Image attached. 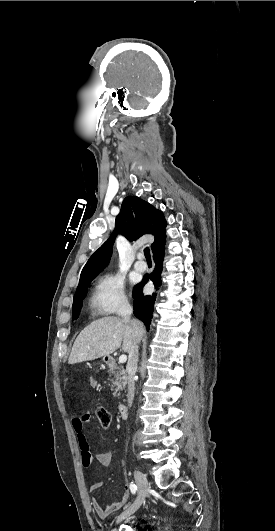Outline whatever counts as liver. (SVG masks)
<instances>
[{
    "label": "liver",
    "instance_id": "1",
    "mask_svg": "<svg viewBox=\"0 0 275 531\" xmlns=\"http://www.w3.org/2000/svg\"><path fill=\"white\" fill-rule=\"evenodd\" d=\"M144 325L133 319L127 323L119 317H103L90 323L78 335L68 359L69 365L83 363V361H94L104 355H111L117 349H122L128 353L133 341H141L144 333Z\"/></svg>",
    "mask_w": 275,
    "mask_h": 531
}]
</instances>
